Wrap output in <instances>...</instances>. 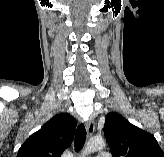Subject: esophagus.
Instances as JSON below:
<instances>
[{
	"instance_id": "esophagus-1",
	"label": "esophagus",
	"mask_w": 164,
	"mask_h": 157,
	"mask_svg": "<svg viewBox=\"0 0 164 157\" xmlns=\"http://www.w3.org/2000/svg\"><path fill=\"white\" fill-rule=\"evenodd\" d=\"M86 128H87L88 135L92 136L95 130V123L92 118L89 121H87Z\"/></svg>"
}]
</instances>
